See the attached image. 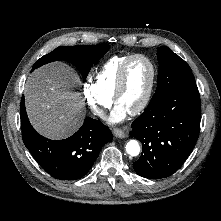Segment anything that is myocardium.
Here are the masks:
<instances>
[{
  "instance_id": "f54148a6",
  "label": "myocardium",
  "mask_w": 221,
  "mask_h": 221,
  "mask_svg": "<svg viewBox=\"0 0 221 221\" xmlns=\"http://www.w3.org/2000/svg\"><path fill=\"white\" fill-rule=\"evenodd\" d=\"M141 58L143 60H145L151 69V78H150V83L148 86V89L146 91V94L144 96V98L142 99V101L140 102V104L131 112H129L131 115L135 116L140 114L141 112H143L146 107L148 106L152 95H153V91H154V87H155V83H156V77H157V69L156 66L154 64V62L146 55L144 54H133L131 55L123 64L119 76H118V80H117V84H116V88L113 94V101L115 104H117L118 99L120 97V95L122 94L125 85H126V79H127V72L129 69L130 64L132 63L133 60Z\"/></svg>"
}]
</instances>
